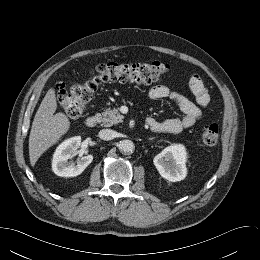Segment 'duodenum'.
Listing matches in <instances>:
<instances>
[{
    "label": "duodenum",
    "mask_w": 260,
    "mask_h": 260,
    "mask_svg": "<svg viewBox=\"0 0 260 260\" xmlns=\"http://www.w3.org/2000/svg\"><path fill=\"white\" fill-rule=\"evenodd\" d=\"M99 117L97 115H92V116H89L85 119V126L87 128H93L97 125V123L99 122Z\"/></svg>",
    "instance_id": "1"
}]
</instances>
